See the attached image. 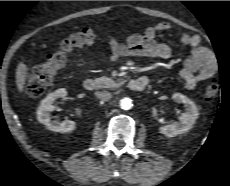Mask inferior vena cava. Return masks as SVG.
I'll return each mask as SVG.
<instances>
[{"instance_id":"602c4592","label":"inferior vena cava","mask_w":230,"mask_h":186,"mask_svg":"<svg viewBox=\"0 0 230 186\" xmlns=\"http://www.w3.org/2000/svg\"><path fill=\"white\" fill-rule=\"evenodd\" d=\"M96 97L103 101H108L112 98V94L108 91L96 92Z\"/></svg>"}]
</instances>
